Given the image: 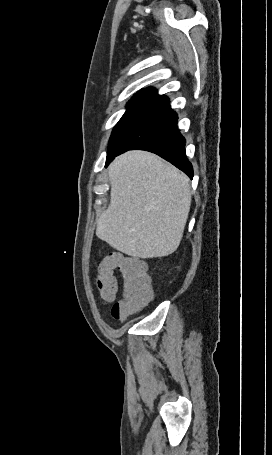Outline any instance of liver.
I'll use <instances>...</instances> for the list:
<instances>
[{"mask_svg": "<svg viewBox=\"0 0 272 455\" xmlns=\"http://www.w3.org/2000/svg\"><path fill=\"white\" fill-rule=\"evenodd\" d=\"M110 205L96 235L129 256L164 257L179 246L191 205L189 179L145 151H129L109 167Z\"/></svg>", "mask_w": 272, "mask_h": 455, "instance_id": "liver-1", "label": "liver"}]
</instances>
